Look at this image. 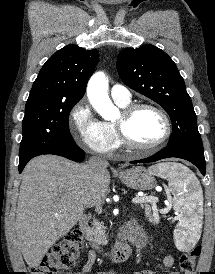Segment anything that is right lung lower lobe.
I'll use <instances>...</instances> for the list:
<instances>
[{
	"label": "right lung lower lobe",
	"instance_id": "obj_1",
	"mask_svg": "<svg viewBox=\"0 0 215 274\" xmlns=\"http://www.w3.org/2000/svg\"><path fill=\"white\" fill-rule=\"evenodd\" d=\"M45 154H54V155H59L63 156L65 158H68L70 160L76 161V162H82L84 160V151L79 148L77 145L71 146V147H63L59 149H54L51 151H48ZM30 159H23L20 160L19 163V172L21 173L25 165Z\"/></svg>",
	"mask_w": 215,
	"mask_h": 274
}]
</instances>
